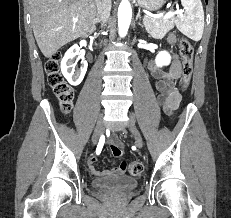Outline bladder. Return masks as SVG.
Wrapping results in <instances>:
<instances>
[{
    "instance_id": "1",
    "label": "bladder",
    "mask_w": 231,
    "mask_h": 218,
    "mask_svg": "<svg viewBox=\"0 0 231 218\" xmlns=\"http://www.w3.org/2000/svg\"><path fill=\"white\" fill-rule=\"evenodd\" d=\"M91 185L101 192L128 193L137 188L138 180L130 176L100 177L93 179Z\"/></svg>"
}]
</instances>
